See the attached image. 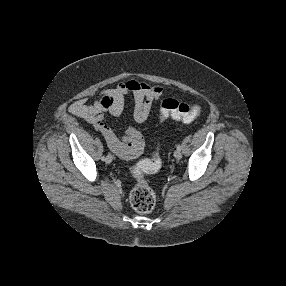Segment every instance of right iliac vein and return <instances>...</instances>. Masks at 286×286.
<instances>
[{
    "label": "right iliac vein",
    "instance_id": "obj_1",
    "mask_svg": "<svg viewBox=\"0 0 286 286\" xmlns=\"http://www.w3.org/2000/svg\"><path fill=\"white\" fill-rule=\"evenodd\" d=\"M105 162H106L107 164H110V163L112 162V155H111V154H108V155H107Z\"/></svg>",
    "mask_w": 286,
    "mask_h": 286
}]
</instances>
